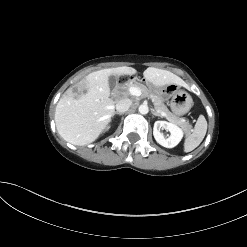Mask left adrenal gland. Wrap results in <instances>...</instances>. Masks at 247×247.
Returning a JSON list of instances; mask_svg holds the SVG:
<instances>
[{
  "instance_id": "left-adrenal-gland-1",
  "label": "left adrenal gland",
  "mask_w": 247,
  "mask_h": 247,
  "mask_svg": "<svg viewBox=\"0 0 247 247\" xmlns=\"http://www.w3.org/2000/svg\"><path fill=\"white\" fill-rule=\"evenodd\" d=\"M152 114L154 116H158V117H161L162 118V116L159 113H157L154 109H152Z\"/></svg>"
}]
</instances>
